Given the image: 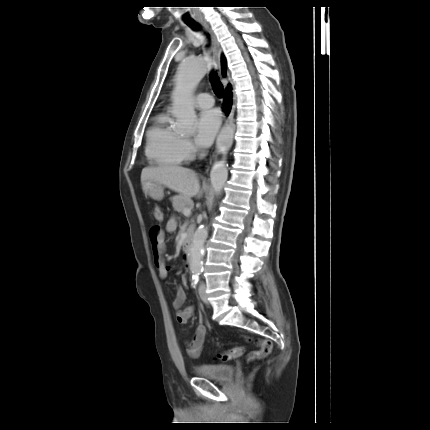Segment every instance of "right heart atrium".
Returning a JSON list of instances; mask_svg holds the SVG:
<instances>
[{
    "label": "right heart atrium",
    "mask_w": 430,
    "mask_h": 430,
    "mask_svg": "<svg viewBox=\"0 0 430 430\" xmlns=\"http://www.w3.org/2000/svg\"><path fill=\"white\" fill-rule=\"evenodd\" d=\"M180 145H181V150L183 154L186 156V158H192L197 152L196 146L193 144L191 140L187 138H182Z\"/></svg>",
    "instance_id": "d8ad5b80"
}]
</instances>
